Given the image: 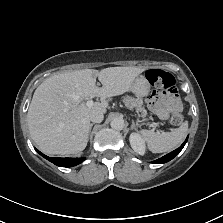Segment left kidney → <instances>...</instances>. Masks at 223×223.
<instances>
[{"label":"left kidney","instance_id":"1","mask_svg":"<svg viewBox=\"0 0 223 223\" xmlns=\"http://www.w3.org/2000/svg\"><path fill=\"white\" fill-rule=\"evenodd\" d=\"M131 148L139 155L147 154L148 148L144 137L139 132H131L129 136Z\"/></svg>","mask_w":223,"mask_h":223}]
</instances>
